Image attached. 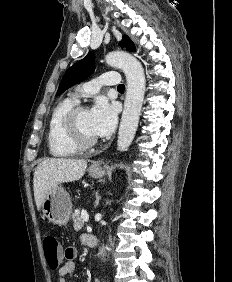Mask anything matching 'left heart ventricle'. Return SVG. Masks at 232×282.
<instances>
[{"mask_svg": "<svg viewBox=\"0 0 232 282\" xmlns=\"http://www.w3.org/2000/svg\"><path fill=\"white\" fill-rule=\"evenodd\" d=\"M78 125L82 134L86 138H90V139L97 138L91 127L90 112L88 110H83L79 113Z\"/></svg>", "mask_w": 232, "mask_h": 282, "instance_id": "left-heart-ventricle-1", "label": "left heart ventricle"}]
</instances>
